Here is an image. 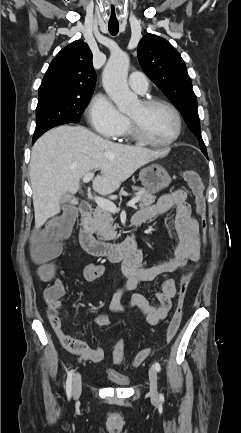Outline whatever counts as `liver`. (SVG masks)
Returning <instances> with one entry per match:
<instances>
[{
    "instance_id": "liver-1",
    "label": "liver",
    "mask_w": 241,
    "mask_h": 433,
    "mask_svg": "<svg viewBox=\"0 0 241 433\" xmlns=\"http://www.w3.org/2000/svg\"><path fill=\"white\" fill-rule=\"evenodd\" d=\"M164 153L105 140L82 126L63 125L41 136L32 148L30 180L33 190L35 227L60 213V199L75 194L80 180L94 169L100 174L93 189L115 192L141 166Z\"/></svg>"
}]
</instances>
